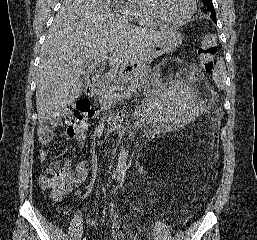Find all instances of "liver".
<instances>
[{
	"label": "liver",
	"mask_w": 257,
	"mask_h": 240,
	"mask_svg": "<svg viewBox=\"0 0 257 240\" xmlns=\"http://www.w3.org/2000/svg\"><path fill=\"white\" fill-rule=\"evenodd\" d=\"M164 32L129 24L103 0H64L40 52L39 119L58 114L79 97L83 90L80 74L95 58L110 54V77L119 79L121 71L139 61Z\"/></svg>",
	"instance_id": "obj_1"
}]
</instances>
